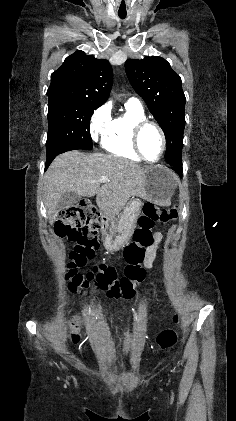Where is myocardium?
<instances>
[{"instance_id": "f54148a6", "label": "myocardium", "mask_w": 236, "mask_h": 421, "mask_svg": "<svg viewBox=\"0 0 236 421\" xmlns=\"http://www.w3.org/2000/svg\"><path fill=\"white\" fill-rule=\"evenodd\" d=\"M146 126L154 127L158 131V133L160 134V137H161V140H162V152H161V155H160L159 159L156 160V161H150L144 155V153L142 152L141 146H140V135H141L142 130ZM131 138H132L134 150L137 153V155L140 157L141 160H143V161H145L149 164H156V163H159L163 159V157L165 155V152H166V148H167V138H166L165 132L162 129V127L159 124H157L156 122L151 121V120H147V119H143V120H140V121L136 122L134 124L133 128H132Z\"/></svg>"}]
</instances>
